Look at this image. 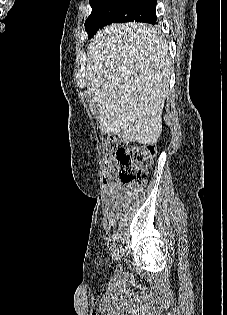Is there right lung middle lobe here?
<instances>
[{
    "label": "right lung middle lobe",
    "instance_id": "right-lung-middle-lobe-1",
    "mask_svg": "<svg viewBox=\"0 0 227 315\" xmlns=\"http://www.w3.org/2000/svg\"><path fill=\"white\" fill-rule=\"evenodd\" d=\"M89 3L92 12L85 21L88 38L111 23L136 21L154 24L156 21L157 0H97Z\"/></svg>",
    "mask_w": 227,
    "mask_h": 315
}]
</instances>
